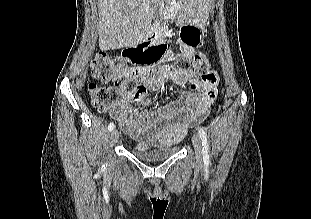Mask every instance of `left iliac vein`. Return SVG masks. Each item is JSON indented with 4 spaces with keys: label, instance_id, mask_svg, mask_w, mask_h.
I'll use <instances>...</instances> for the list:
<instances>
[{
    "label": "left iliac vein",
    "instance_id": "1",
    "mask_svg": "<svg viewBox=\"0 0 311 219\" xmlns=\"http://www.w3.org/2000/svg\"><path fill=\"white\" fill-rule=\"evenodd\" d=\"M192 144L195 150L196 161L197 163H202L203 160V148L202 142L198 134H194L192 137Z\"/></svg>",
    "mask_w": 311,
    "mask_h": 219
}]
</instances>
